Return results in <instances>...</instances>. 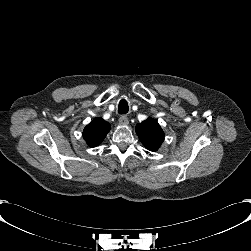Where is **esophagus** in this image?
Masks as SVG:
<instances>
[{"instance_id":"34e87169","label":"esophagus","mask_w":251,"mask_h":251,"mask_svg":"<svg viewBox=\"0 0 251 251\" xmlns=\"http://www.w3.org/2000/svg\"><path fill=\"white\" fill-rule=\"evenodd\" d=\"M119 123L122 124V125H128L129 124V120L126 116H121L119 118Z\"/></svg>"}]
</instances>
